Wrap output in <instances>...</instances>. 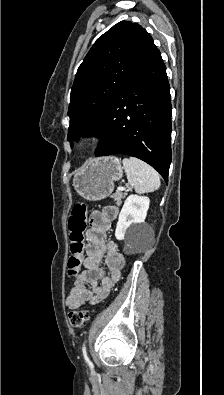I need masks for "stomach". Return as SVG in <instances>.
<instances>
[{"label": "stomach", "instance_id": "stomach-1", "mask_svg": "<svg viewBox=\"0 0 224 395\" xmlns=\"http://www.w3.org/2000/svg\"><path fill=\"white\" fill-rule=\"evenodd\" d=\"M123 176L121 161L116 157H101L87 161L76 172L73 186L86 200L99 201L108 197L114 189V182Z\"/></svg>", "mask_w": 224, "mask_h": 395}]
</instances>
